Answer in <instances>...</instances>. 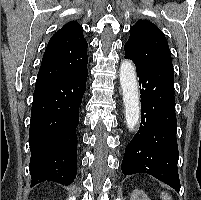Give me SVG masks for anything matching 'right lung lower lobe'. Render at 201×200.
I'll list each match as a JSON object with an SVG mask.
<instances>
[{"label": "right lung lower lobe", "mask_w": 201, "mask_h": 200, "mask_svg": "<svg viewBox=\"0 0 201 200\" xmlns=\"http://www.w3.org/2000/svg\"><path fill=\"white\" fill-rule=\"evenodd\" d=\"M87 64L74 76L35 87L31 109V187L51 181L68 185L77 172L79 107L86 90Z\"/></svg>", "instance_id": "1"}]
</instances>
